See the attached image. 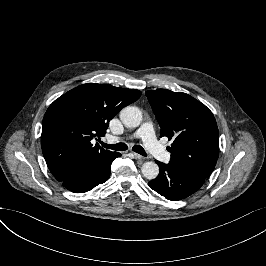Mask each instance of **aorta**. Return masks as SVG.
<instances>
[{
	"mask_svg": "<svg viewBox=\"0 0 266 266\" xmlns=\"http://www.w3.org/2000/svg\"><path fill=\"white\" fill-rule=\"evenodd\" d=\"M120 120L129 128H136L142 121V112L138 107L127 106L120 111ZM143 176L148 180L155 179L159 174V166L152 161L143 163L141 167Z\"/></svg>",
	"mask_w": 266,
	"mask_h": 266,
	"instance_id": "aorta-1",
	"label": "aorta"
}]
</instances>
